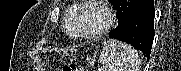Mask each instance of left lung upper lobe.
Segmentation results:
<instances>
[{
	"instance_id": "5c2ea615",
	"label": "left lung upper lobe",
	"mask_w": 181,
	"mask_h": 71,
	"mask_svg": "<svg viewBox=\"0 0 181 71\" xmlns=\"http://www.w3.org/2000/svg\"><path fill=\"white\" fill-rule=\"evenodd\" d=\"M110 2H111V4L114 6V4H115V2L117 1V0H109Z\"/></svg>"
}]
</instances>
